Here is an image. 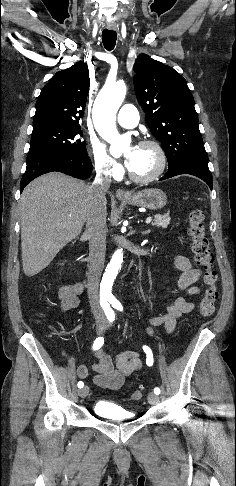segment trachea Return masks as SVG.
<instances>
[{
  "instance_id": "3493384b",
  "label": "trachea",
  "mask_w": 236,
  "mask_h": 486,
  "mask_svg": "<svg viewBox=\"0 0 236 486\" xmlns=\"http://www.w3.org/2000/svg\"><path fill=\"white\" fill-rule=\"evenodd\" d=\"M117 40V33L113 30H103L102 41L106 50L111 51L114 49Z\"/></svg>"
}]
</instances>
